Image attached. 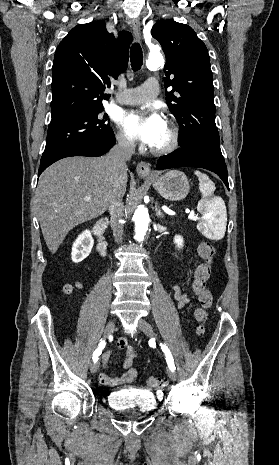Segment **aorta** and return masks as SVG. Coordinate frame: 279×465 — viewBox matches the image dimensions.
<instances>
[{"mask_svg": "<svg viewBox=\"0 0 279 465\" xmlns=\"http://www.w3.org/2000/svg\"><path fill=\"white\" fill-rule=\"evenodd\" d=\"M164 62L162 56L159 53L151 54L148 59L147 66L153 67L155 65L162 64ZM135 221V239L137 241H143L148 230L149 214L147 208L144 206H138L134 213Z\"/></svg>", "mask_w": 279, "mask_h": 465, "instance_id": "aorta-1", "label": "aorta"}]
</instances>
